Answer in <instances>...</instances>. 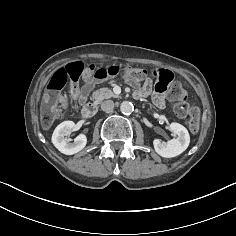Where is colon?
Masks as SVG:
<instances>
[{
  "label": "colon",
  "instance_id": "obj_1",
  "mask_svg": "<svg viewBox=\"0 0 236 236\" xmlns=\"http://www.w3.org/2000/svg\"><path fill=\"white\" fill-rule=\"evenodd\" d=\"M146 75V71L130 65H114L110 67L96 68L94 65H84L81 62H73L64 68H60L51 76L47 91L41 106V122L45 128H49L65 107L64 99L59 93L71 85V90H76L80 80L89 81L92 78L105 80L114 76H121L130 82H140ZM173 74L169 70L161 72L160 79L155 84L156 92L167 91V96L175 102L174 112L178 117H189V129L197 133L200 127V111L197 107L187 102V92L179 83H172Z\"/></svg>",
  "mask_w": 236,
  "mask_h": 236
}]
</instances>
